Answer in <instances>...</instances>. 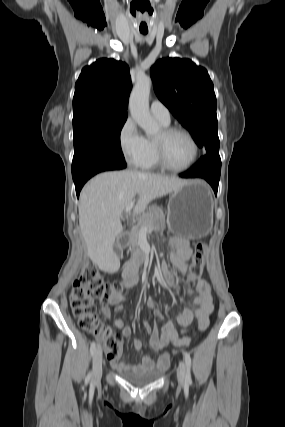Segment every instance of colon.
<instances>
[{"label": "colon", "mask_w": 285, "mask_h": 427, "mask_svg": "<svg viewBox=\"0 0 285 427\" xmlns=\"http://www.w3.org/2000/svg\"><path fill=\"white\" fill-rule=\"evenodd\" d=\"M206 254L207 245L203 242L195 243L187 276L189 285L201 280ZM123 288L124 284L121 282H106L94 264H85L70 294V305L79 326L103 342L109 360L119 358L122 341L117 333L102 323L97 314L95 301L105 303L111 294L120 292Z\"/></svg>", "instance_id": "1"}]
</instances>
